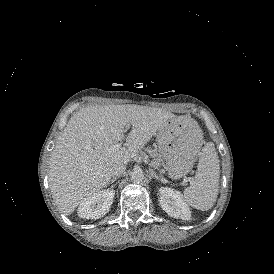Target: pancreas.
I'll return each mask as SVG.
<instances>
[{"instance_id": "cf45deb5", "label": "pancreas", "mask_w": 274, "mask_h": 274, "mask_svg": "<svg viewBox=\"0 0 274 274\" xmlns=\"http://www.w3.org/2000/svg\"><path fill=\"white\" fill-rule=\"evenodd\" d=\"M146 151L150 154L151 157L155 158V161L152 162V165L154 167H160L161 165V159L159 158V155L156 150H152L150 148H146Z\"/></svg>"}]
</instances>
